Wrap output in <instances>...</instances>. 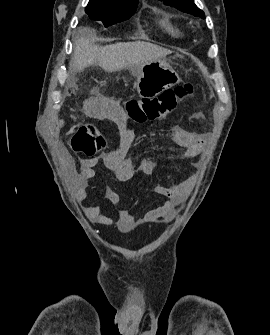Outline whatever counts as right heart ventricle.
I'll use <instances>...</instances> for the list:
<instances>
[{
	"instance_id": "right-heart-ventricle-1",
	"label": "right heart ventricle",
	"mask_w": 270,
	"mask_h": 335,
	"mask_svg": "<svg viewBox=\"0 0 270 335\" xmlns=\"http://www.w3.org/2000/svg\"><path fill=\"white\" fill-rule=\"evenodd\" d=\"M158 24L160 28L172 37H179L180 32L179 30L173 25L170 14L165 11H160L158 16Z\"/></svg>"
}]
</instances>
